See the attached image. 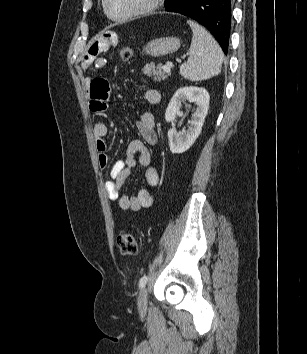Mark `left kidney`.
Listing matches in <instances>:
<instances>
[{
  "instance_id": "obj_1",
  "label": "left kidney",
  "mask_w": 307,
  "mask_h": 354,
  "mask_svg": "<svg viewBox=\"0 0 307 354\" xmlns=\"http://www.w3.org/2000/svg\"><path fill=\"white\" fill-rule=\"evenodd\" d=\"M209 99L207 90L200 87H181L174 93L165 112L167 122H174L182 103L186 101L195 103L196 108L186 130L177 132L176 128L172 127L168 131L169 148L172 153H183L194 144L202 131L209 109Z\"/></svg>"
}]
</instances>
